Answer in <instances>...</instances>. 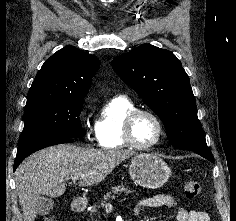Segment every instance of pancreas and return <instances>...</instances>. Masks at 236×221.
I'll return each mask as SVG.
<instances>
[{
  "mask_svg": "<svg viewBox=\"0 0 236 221\" xmlns=\"http://www.w3.org/2000/svg\"><path fill=\"white\" fill-rule=\"evenodd\" d=\"M122 192L129 194L132 193V190L125 188V187H112V191L107 192L103 199L101 200L100 204L94 205L93 208L90 210L91 221H102L101 220V212L100 209L104 208L105 204L110 199H115L116 194H121Z\"/></svg>",
  "mask_w": 236,
  "mask_h": 221,
  "instance_id": "pancreas-1",
  "label": "pancreas"
}]
</instances>
